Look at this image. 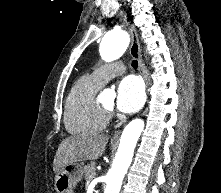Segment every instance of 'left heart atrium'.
Instances as JSON below:
<instances>
[{
	"label": "left heart atrium",
	"mask_w": 221,
	"mask_h": 193,
	"mask_svg": "<svg viewBox=\"0 0 221 193\" xmlns=\"http://www.w3.org/2000/svg\"><path fill=\"white\" fill-rule=\"evenodd\" d=\"M145 101V91L142 81L129 75L123 78L117 88L116 107L123 113H134Z\"/></svg>",
	"instance_id": "obj_1"
}]
</instances>
